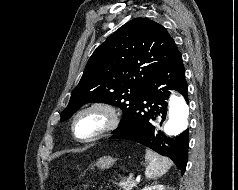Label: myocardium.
<instances>
[{
  "instance_id": "1",
  "label": "myocardium",
  "mask_w": 238,
  "mask_h": 190,
  "mask_svg": "<svg viewBox=\"0 0 238 190\" xmlns=\"http://www.w3.org/2000/svg\"><path fill=\"white\" fill-rule=\"evenodd\" d=\"M92 112L100 113L104 117V124L96 132L87 136H82L77 131L78 120L82 116ZM119 123L120 113L114 105L106 102H92L76 112L72 119L71 129L76 139L83 142H91L102 138L115 130Z\"/></svg>"
}]
</instances>
